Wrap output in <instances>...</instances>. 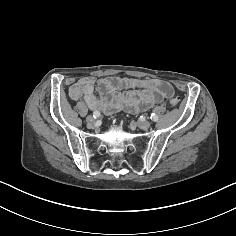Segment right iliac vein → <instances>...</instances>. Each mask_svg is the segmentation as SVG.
Segmentation results:
<instances>
[{
  "instance_id": "obj_1",
  "label": "right iliac vein",
  "mask_w": 236,
  "mask_h": 236,
  "mask_svg": "<svg viewBox=\"0 0 236 236\" xmlns=\"http://www.w3.org/2000/svg\"><path fill=\"white\" fill-rule=\"evenodd\" d=\"M86 122H87V124H89V125H93L94 122H95V119H94L91 115H88V116L86 117Z\"/></svg>"
}]
</instances>
